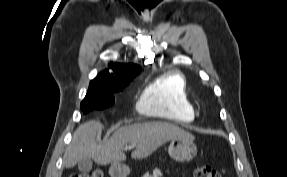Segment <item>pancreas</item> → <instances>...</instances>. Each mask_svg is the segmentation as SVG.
<instances>
[{
    "instance_id": "1",
    "label": "pancreas",
    "mask_w": 287,
    "mask_h": 177,
    "mask_svg": "<svg viewBox=\"0 0 287 177\" xmlns=\"http://www.w3.org/2000/svg\"><path fill=\"white\" fill-rule=\"evenodd\" d=\"M162 172L159 169H154L152 173L146 172L142 177H161Z\"/></svg>"
}]
</instances>
